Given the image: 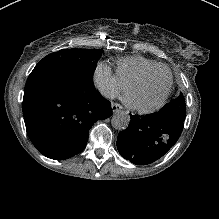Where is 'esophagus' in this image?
<instances>
[{"label":"esophagus","instance_id":"obj_1","mask_svg":"<svg viewBox=\"0 0 219 219\" xmlns=\"http://www.w3.org/2000/svg\"><path fill=\"white\" fill-rule=\"evenodd\" d=\"M111 107L113 112L120 110L122 108L120 104L114 102L111 103Z\"/></svg>","mask_w":219,"mask_h":219}]
</instances>
